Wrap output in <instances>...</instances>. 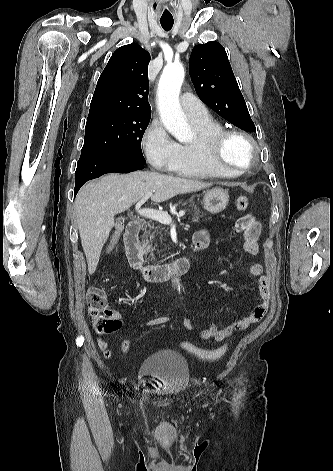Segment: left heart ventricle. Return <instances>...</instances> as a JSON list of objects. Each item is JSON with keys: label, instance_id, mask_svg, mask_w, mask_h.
Listing matches in <instances>:
<instances>
[{"label": "left heart ventricle", "instance_id": "obj_1", "mask_svg": "<svg viewBox=\"0 0 333 471\" xmlns=\"http://www.w3.org/2000/svg\"><path fill=\"white\" fill-rule=\"evenodd\" d=\"M248 157V149L244 142L237 139L230 140L224 149V158L227 162L242 165Z\"/></svg>", "mask_w": 333, "mask_h": 471}]
</instances>
